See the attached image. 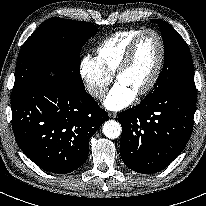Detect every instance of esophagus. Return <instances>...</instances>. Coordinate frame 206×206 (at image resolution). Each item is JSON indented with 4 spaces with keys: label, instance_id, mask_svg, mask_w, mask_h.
<instances>
[{
    "label": "esophagus",
    "instance_id": "1",
    "mask_svg": "<svg viewBox=\"0 0 206 206\" xmlns=\"http://www.w3.org/2000/svg\"><path fill=\"white\" fill-rule=\"evenodd\" d=\"M108 116H109L110 118H117V117H118V114H117L116 112H109V113H108Z\"/></svg>",
    "mask_w": 206,
    "mask_h": 206
}]
</instances>
